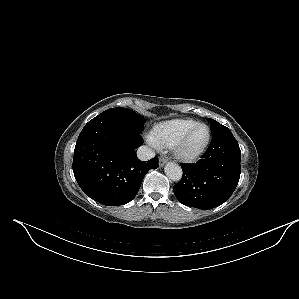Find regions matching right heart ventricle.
I'll use <instances>...</instances> for the list:
<instances>
[{"label":"right heart ventricle","mask_w":299,"mask_h":299,"mask_svg":"<svg viewBox=\"0 0 299 299\" xmlns=\"http://www.w3.org/2000/svg\"><path fill=\"white\" fill-rule=\"evenodd\" d=\"M197 121L187 118H177L156 124L150 132L151 142L160 147H171Z\"/></svg>","instance_id":"e07e8e85"}]
</instances>
